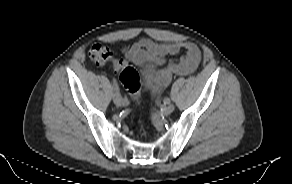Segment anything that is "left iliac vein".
<instances>
[{
	"label": "left iliac vein",
	"mask_w": 292,
	"mask_h": 184,
	"mask_svg": "<svg viewBox=\"0 0 292 184\" xmlns=\"http://www.w3.org/2000/svg\"><path fill=\"white\" fill-rule=\"evenodd\" d=\"M174 110V106L173 104H168L167 106H165L163 109H162V114L164 116H168L170 115Z\"/></svg>",
	"instance_id": "obj_1"
}]
</instances>
